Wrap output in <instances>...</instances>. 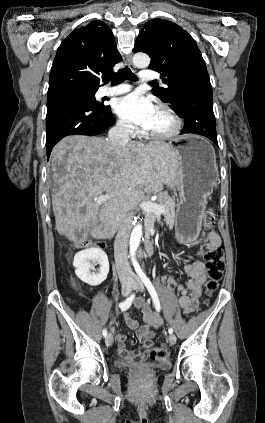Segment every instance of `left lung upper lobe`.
<instances>
[{"label":"left lung upper lobe","instance_id":"left-lung-upper-lobe-1","mask_svg":"<svg viewBox=\"0 0 265 423\" xmlns=\"http://www.w3.org/2000/svg\"><path fill=\"white\" fill-rule=\"evenodd\" d=\"M133 52L151 57L149 68L161 73L168 88L153 89L155 96L176 105L175 89L188 76L207 71L196 42L183 28L163 19L149 20L140 31Z\"/></svg>","mask_w":265,"mask_h":423}]
</instances>
